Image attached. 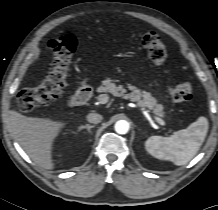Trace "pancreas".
Listing matches in <instances>:
<instances>
[{
    "mask_svg": "<svg viewBox=\"0 0 218 210\" xmlns=\"http://www.w3.org/2000/svg\"><path fill=\"white\" fill-rule=\"evenodd\" d=\"M128 90L130 91L129 93ZM100 91L109 92L116 97L137 102L138 105L152 110L156 116L164 117L163 105L158 104L157 99L151 93L141 90L134 85H128V89H126L124 85H117L115 80L107 79L103 82Z\"/></svg>",
    "mask_w": 218,
    "mask_h": 210,
    "instance_id": "obj_1",
    "label": "pancreas"
}]
</instances>
